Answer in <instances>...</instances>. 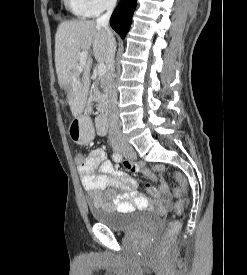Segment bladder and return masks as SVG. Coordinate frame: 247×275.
<instances>
[{
    "instance_id": "31cf9c89",
    "label": "bladder",
    "mask_w": 247,
    "mask_h": 275,
    "mask_svg": "<svg viewBox=\"0 0 247 275\" xmlns=\"http://www.w3.org/2000/svg\"><path fill=\"white\" fill-rule=\"evenodd\" d=\"M89 211L96 223L104 225L109 229L117 232H126L136 225L154 226L160 222V215L153 212H118L105 208L89 205ZM138 218H134L135 215Z\"/></svg>"
}]
</instances>
